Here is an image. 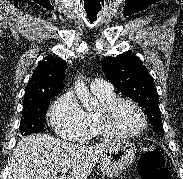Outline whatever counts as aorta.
<instances>
[{
    "instance_id": "1",
    "label": "aorta",
    "mask_w": 183,
    "mask_h": 179,
    "mask_svg": "<svg viewBox=\"0 0 183 179\" xmlns=\"http://www.w3.org/2000/svg\"><path fill=\"white\" fill-rule=\"evenodd\" d=\"M74 90L77 98L85 109H94L97 106V101L91 96L87 86L81 78H78L75 81Z\"/></svg>"
}]
</instances>
